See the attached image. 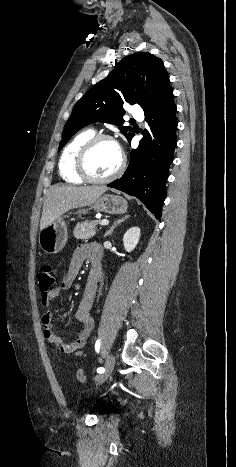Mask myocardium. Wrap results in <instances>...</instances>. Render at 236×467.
I'll use <instances>...</instances> for the list:
<instances>
[{
  "instance_id": "1",
  "label": "myocardium",
  "mask_w": 236,
  "mask_h": 467,
  "mask_svg": "<svg viewBox=\"0 0 236 467\" xmlns=\"http://www.w3.org/2000/svg\"><path fill=\"white\" fill-rule=\"evenodd\" d=\"M104 140L111 141L118 146L116 140L112 136L107 135V134H95L82 145V147L79 149L77 153L76 171L81 178H83L84 180L88 182H92V183L110 182L116 179L118 176H120L125 168L126 159H125L123 152L120 150V156H121L120 163L118 167L116 168V170L112 172L110 175L106 177H96L90 172L89 167H88V160H89L90 153L98 142L104 141Z\"/></svg>"
}]
</instances>
